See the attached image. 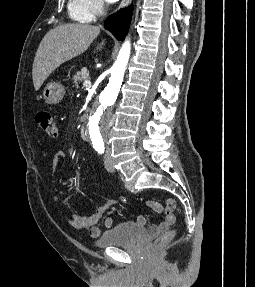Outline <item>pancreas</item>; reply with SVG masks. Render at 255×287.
Returning <instances> with one entry per match:
<instances>
[{"instance_id":"cf45deb5","label":"pancreas","mask_w":255,"mask_h":287,"mask_svg":"<svg viewBox=\"0 0 255 287\" xmlns=\"http://www.w3.org/2000/svg\"><path fill=\"white\" fill-rule=\"evenodd\" d=\"M86 80H90L87 68H82L80 72H76V76H73V84L76 86V88H79V84L86 82Z\"/></svg>"}]
</instances>
